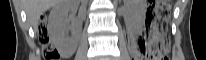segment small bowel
I'll return each mask as SVG.
<instances>
[{
    "mask_svg": "<svg viewBox=\"0 0 206 60\" xmlns=\"http://www.w3.org/2000/svg\"><path fill=\"white\" fill-rule=\"evenodd\" d=\"M137 48L135 46H133L132 48V51H133V54L136 52Z\"/></svg>",
    "mask_w": 206,
    "mask_h": 60,
    "instance_id": "small-bowel-1",
    "label": "small bowel"
}]
</instances>
